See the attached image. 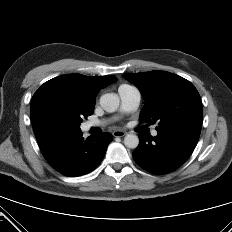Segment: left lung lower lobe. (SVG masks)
Returning a JSON list of instances; mask_svg holds the SVG:
<instances>
[{"mask_svg": "<svg viewBox=\"0 0 232 232\" xmlns=\"http://www.w3.org/2000/svg\"><path fill=\"white\" fill-rule=\"evenodd\" d=\"M156 130V137L139 135L133 158L146 171L167 174L188 160L197 145L201 125L175 124Z\"/></svg>", "mask_w": 232, "mask_h": 232, "instance_id": "left-lung-lower-lobe-1", "label": "left lung lower lobe"}]
</instances>
